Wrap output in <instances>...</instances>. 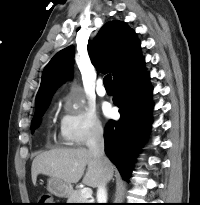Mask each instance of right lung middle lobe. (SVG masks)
<instances>
[{"label": "right lung middle lobe", "instance_id": "right-lung-middle-lobe-1", "mask_svg": "<svg viewBox=\"0 0 200 205\" xmlns=\"http://www.w3.org/2000/svg\"><path fill=\"white\" fill-rule=\"evenodd\" d=\"M50 99L43 100L36 106V111L33 120L31 121V129L37 128L41 122V117L48 107Z\"/></svg>", "mask_w": 200, "mask_h": 205}]
</instances>
